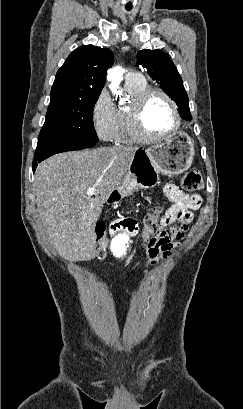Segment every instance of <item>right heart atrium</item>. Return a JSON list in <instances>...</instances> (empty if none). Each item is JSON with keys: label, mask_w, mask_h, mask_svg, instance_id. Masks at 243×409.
<instances>
[{"label": "right heart atrium", "mask_w": 243, "mask_h": 409, "mask_svg": "<svg viewBox=\"0 0 243 409\" xmlns=\"http://www.w3.org/2000/svg\"><path fill=\"white\" fill-rule=\"evenodd\" d=\"M92 126L96 135L105 142L114 141L118 127L117 108L109 93H99L92 108Z\"/></svg>", "instance_id": "obj_1"}]
</instances>
